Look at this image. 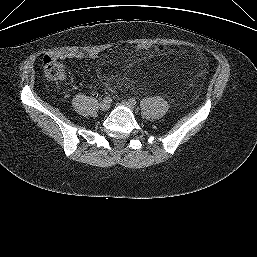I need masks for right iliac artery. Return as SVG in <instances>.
<instances>
[{"instance_id": "obj_1", "label": "right iliac artery", "mask_w": 257, "mask_h": 257, "mask_svg": "<svg viewBox=\"0 0 257 257\" xmlns=\"http://www.w3.org/2000/svg\"><path fill=\"white\" fill-rule=\"evenodd\" d=\"M104 102L106 103H111L112 102V98L109 97V96H106L104 99H103Z\"/></svg>"}]
</instances>
